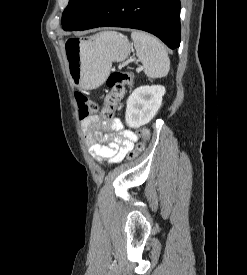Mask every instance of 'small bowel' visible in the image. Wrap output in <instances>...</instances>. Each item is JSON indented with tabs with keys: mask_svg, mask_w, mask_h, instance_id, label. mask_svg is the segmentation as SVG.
Wrapping results in <instances>:
<instances>
[{
	"mask_svg": "<svg viewBox=\"0 0 247 275\" xmlns=\"http://www.w3.org/2000/svg\"><path fill=\"white\" fill-rule=\"evenodd\" d=\"M83 130L91 155L110 164L122 161L138 140V136L132 130L124 129L122 122L115 117L103 120L92 115L83 121Z\"/></svg>",
	"mask_w": 247,
	"mask_h": 275,
	"instance_id": "obj_1",
	"label": "small bowel"
}]
</instances>
